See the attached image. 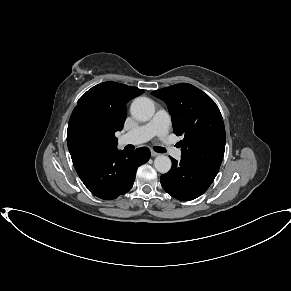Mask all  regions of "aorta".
<instances>
[{
  "instance_id": "762f6f07",
  "label": "aorta",
  "mask_w": 291,
  "mask_h": 291,
  "mask_svg": "<svg viewBox=\"0 0 291 291\" xmlns=\"http://www.w3.org/2000/svg\"><path fill=\"white\" fill-rule=\"evenodd\" d=\"M130 112L135 119L148 121L154 115V103L147 97H138L132 102ZM154 166L158 172L167 173L171 169V160L166 155H158L154 160Z\"/></svg>"
}]
</instances>
